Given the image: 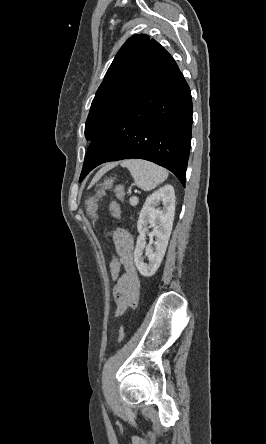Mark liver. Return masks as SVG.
<instances>
[{
	"label": "liver",
	"instance_id": "obj_1",
	"mask_svg": "<svg viewBox=\"0 0 266 444\" xmlns=\"http://www.w3.org/2000/svg\"><path fill=\"white\" fill-rule=\"evenodd\" d=\"M116 164H117V163H110V164L106 165L105 167H103V168L98 172V174L96 175V178L94 179V181L97 180L100 176H102L106 171H108L109 169L115 167Z\"/></svg>",
	"mask_w": 266,
	"mask_h": 444
}]
</instances>
